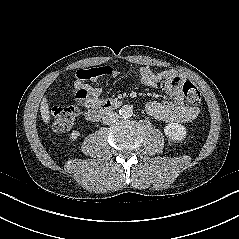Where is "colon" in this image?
Returning a JSON list of instances; mask_svg holds the SVG:
<instances>
[{
  "label": "colon",
  "mask_w": 239,
  "mask_h": 239,
  "mask_svg": "<svg viewBox=\"0 0 239 239\" xmlns=\"http://www.w3.org/2000/svg\"><path fill=\"white\" fill-rule=\"evenodd\" d=\"M103 73L102 69L93 70L90 75H100ZM182 92L186 100L191 105H198L201 102V93L198 87L190 82L182 83ZM77 116V111L73 106L57 107L52 112L53 129L56 132H66L71 129Z\"/></svg>",
  "instance_id": "obj_1"
}]
</instances>
